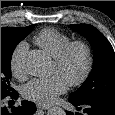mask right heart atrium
<instances>
[{"instance_id": "1", "label": "right heart atrium", "mask_w": 115, "mask_h": 115, "mask_svg": "<svg viewBox=\"0 0 115 115\" xmlns=\"http://www.w3.org/2000/svg\"><path fill=\"white\" fill-rule=\"evenodd\" d=\"M27 50V43L22 41L15 46L11 53L9 61L10 70L12 75L17 79L25 78L24 57Z\"/></svg>"}]
</instances>
